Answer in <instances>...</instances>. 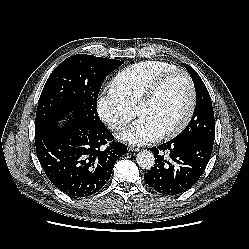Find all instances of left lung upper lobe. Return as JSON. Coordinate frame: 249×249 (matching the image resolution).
Listing matches in <instances>:
<instances>
[{"label":"left lung upper lobe","instance_id":"5c2ea615","mask_svg":"<svg viewBox=\"0 0 249 249\" xmlns=\"http://www.w3.org/2000/svg\"><path fill=\"white\" fill-rule=\"evenodd\" d=\"M194 82L196 90V107L187 127L175 138L184 140L201 138L214 143L215 119L209 92L198 73L189 65L184 64Z\"/></svg>","mask_w":249,"mask_h":249}]
</instances>
